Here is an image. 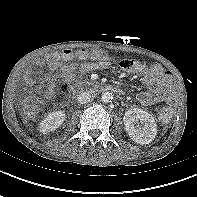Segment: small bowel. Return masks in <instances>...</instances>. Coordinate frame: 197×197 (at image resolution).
I'll use <instances>...</instances> for the list:
<instances>
[{
  "instance_id": "1",
  "label": "small bowel",
  "mask_w": 197,
  "mask_h": 197,
  "mask_svg": "<svg viewBox=\"0 0 197 197\" xmlns=\"http://www.w3.org/2000/svg\"><path fill=\"white\" fill-rule=\"evenodd\" d=\"M60 59L61 58L53 60L50 56L36 62L39 66L46 65L52 72H58L56 75H49L45 78V81L50 87H52L58 79L71 80L77 67L81 72L87 73L94 69H103L107 65L105 61H86L77 66L74 63L65 64L61 62ZM128 61L131 66L124 69L128 72L140 75L143 85L148 89L138 95V101L141 105L150 106L173 99L172 78L160 65L153 64L147 66L137 60Z\"/></svg>"
}]
</instances>
